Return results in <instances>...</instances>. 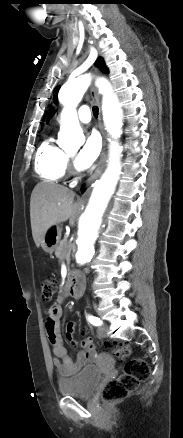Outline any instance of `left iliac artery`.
<instances>
[{
	"mask_svg": "<svg viewBox=\"0 0 183 438\" xmlns=\"http://www.w3.org/2000/svg\"><path fill=\"white\" fill-rule=\"evenodd\" d=\"M88 320L94 326L102 325V321L98 317H94V316L88 315Z\"/></svg>",
	"mask_w": 183,
	"mask_h": 438,
	"instance_id": "44dca946",
	"label": "left iliac artery"
}]
</instances>
